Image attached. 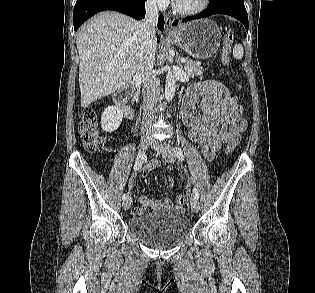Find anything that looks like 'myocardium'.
Instances as JSON below:
<instances>
[{"label":"myocardium","mask_w":315,"mask_h":293,"mask_svg":"<svg viewBox=\"0 0 315 293\" xmlns=\"http://www.w3.org/2000/svg\"><path fill=\"white\" fill-rule=\"evenodd\" d=\"M210 0H202L201 4L198 7L192 9H184L180 7L175 0H172V8L175 12L181 15H196L203 12L209 5Z\"/></svg>","instance_id":"1"}]
</instances>
